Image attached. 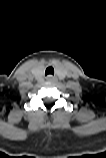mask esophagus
<instances>
[{"instance_id": "obj_1", "label": "esophagus", "mask_w": 106, "mask_h": 158, "mask_svg": "<svg viewBox=\"0 0 106 158\" xmlns=\"http://www.w3.org/2000/svg\"><path fill=\"white\" fill-rule=\"evenodd\" d=\"M46 79H47L48 81H53V80H55V77L52 76V75H48V76L46 77Z\"/></svg>"}]
</instances>
